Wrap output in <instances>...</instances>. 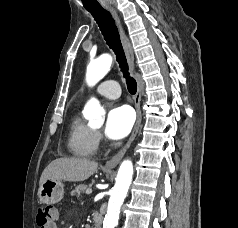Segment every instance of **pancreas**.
Wrapping results in <instances>:
<instances>
[{"label":"pancreas","mask_w":238,"mask_h":228,"mask_svg":"<svg viewBox=\"0 0 238 228\" xmlns=\"http://www.w3.org/2000/svg\"><path fill=\"white\" fill-rule=\"evenodd\" d=\"M89 187L85 184H80L78 185L74 190L71 191V195L74 196V195H81V193H83L85 190H88Z\"/></svg>","instance_id":"1"}]
</instances>
